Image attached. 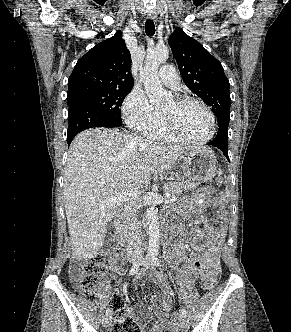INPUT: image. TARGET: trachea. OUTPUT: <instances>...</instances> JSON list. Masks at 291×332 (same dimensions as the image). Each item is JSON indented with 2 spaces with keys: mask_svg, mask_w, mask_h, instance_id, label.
Wrapping results in <instances>:
<instances>
[{
  "mask_svg": "<svg viewBox=\"0 0 291 332\" xmlns=\"http://www.w3.org/2000/svg\"><path fill=\"white\" fill-rule=\"evenodd\" d=\"M145 32L149 36H153L155 34V25L153 20L149 19L145 23Z\"/></svg>",
  "mask_w": 291,
  "mask_h": 332,
  "instance_id": "trachea-1",
  "label": "trachea"
}]
</instances>
